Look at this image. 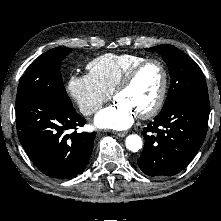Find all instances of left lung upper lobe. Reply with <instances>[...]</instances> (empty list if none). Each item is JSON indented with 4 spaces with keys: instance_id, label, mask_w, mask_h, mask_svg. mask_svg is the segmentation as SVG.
<instances>
[{
    "instance_id": "left-lung-upper-lobe-1",
    "label": "left lung upper lobe",
    "mask_w": 221,
    "mask_h": 221,
    "mask_svg": "<svg viewBox=\"0 0 221 221\" xmlns=\"http://www.w3.org/2000/svg\"><path fill=\"white\" fill-rule=\"evenodd\" d=\"M146 50L157 52L163 57L171 76L168 96L161 112L191 95L208 92L200 67L181 50L170 45H159Z\"/></svg>"
}]
</instances>
